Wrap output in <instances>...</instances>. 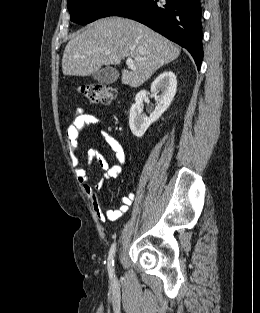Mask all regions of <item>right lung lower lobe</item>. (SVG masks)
I'll return each instance as SVG.
<instances>
[{
  "instance_id": "98d812e1",
  "label": "right lung lower lobe",
  "mask_w": 260,
  "mask_h": 313,
  "mask_svg": "<svg viewBox=\"0 0 260 313\" xmlns=\"http://www.w3.org/2000/svg\"><path fill=\"white\" fill-rule=\"evenodd\" d=\"M134 19L186 48L199 70L202 58L201 0H121L103 17Z\"/></svg>"
}]
</instances>
